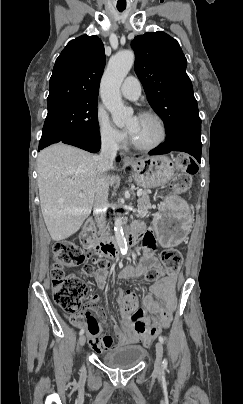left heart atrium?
Here are the masks:
<instances>
[{"label":"left heart atrium","instance_id":"obj_1","mask_svg":"<svg viewBox=\"0 0 243 404\" xmlns=\"http://www.w3.org/2000/svg\"><path fill=\"white\" fill-rule=\"evenodd\" d=\"M138 117L139 116H134L133 120H132V123L127 127V130H128L130 135H132V133L135 130V127H136V124H137V121H138Z\"/></svg>","mask_w":243,"mask_h":404}]
</instances>
